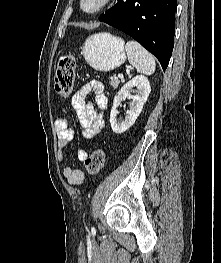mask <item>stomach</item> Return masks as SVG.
Here are the masks:
<instances>
[{"label": "stomach", "instance_id": "1", "mask_svg": "<svg viewBox=\"0 0 221 263\" xmlns=\"http://www.w3.org/2000/svg\"><path fill=\"white\" fill-rule=\"evenodd\" d=\"M82 53L86 62L101 72L111 71L126 60L124 41L109 33L90 36L84 43Z\"/></svg>", "mask_w": 221, "mask_h": 263}]
</instances>
